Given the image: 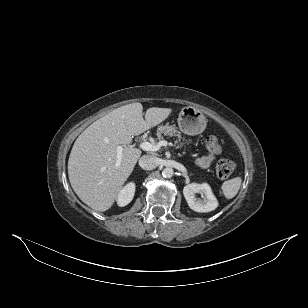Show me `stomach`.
I'll list each match as a JSON object with an SVG mask.
<instances>
[{
	"label": "stomach",
	"instance_id": "0dacf381",
	"mask_svg": "<svg viewBox=\"0 0 308 308\" xmlns=\"http://www.w3.org/2000/svg\"><path fill=\"white\" fill-rule=\"evenodd\" d=\"M206 123L204 114L192 106L184 107L179 113L178 127L187 135L194 136L202 133Z\"/></svg>",
	"mask_w": 308,
	"mask_h": 308
}]
</instances>
